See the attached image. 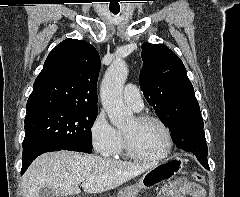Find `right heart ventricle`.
<instances>
[{
	"label": "right heart ventricle",
	"instance_id": "1",
	"mask_svg": "<svg viewBox=\"0 0 240 197\" xmlns=\"http://www.w3.org/2000/svg\"><path fill=\"white\" fill-rule=\"evenodd\" d=\"M111 156L114 159H127V158H130V156L125 151L122 135H121V140H120V143H119L118 147L116 148V150L114 151V153Z\"/></svg>",
	"mask_w": 240,
	"mask_h": 197
}]
</instances>
